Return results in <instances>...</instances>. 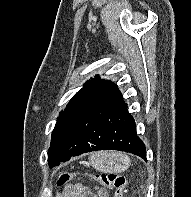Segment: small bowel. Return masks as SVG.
Instances as JSON below:
<instances>
[{
	"mask_svg": "<svg viewBox=\"0 0 191 197\" xmlns=\"http://www.w3.org/2000/svg\"><path fill=\"white\" fill-rule=\"evenodd\" d=\"M57 197H107L104 190L95 192L84 185H66Z\"/></svg>",
	"mask_w": 191,
	"mask_h": 197,
	"instance_id": "small-bowel-1",
	"label": "small bowel"
}]
</instances>
